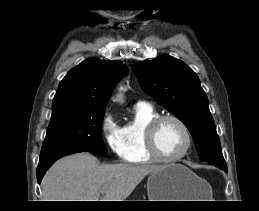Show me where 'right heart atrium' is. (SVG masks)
Masks as SVG:
<instances>
[{
    "label": "right heart atrium",
    "mask_w": 259,
    "mask_h": 211,
    "mask_svg": "<svg viewBox=\"0 0 259 211\" xmlns=\"http://www.w3.org/2000/svg\"><path fill=\"white\" fill-rule=\"evenodd\" d=\"M103 139L110 151L117 157H122L123 142L121 128L110 112H106L100 124Z\"/></svg>",
    "instance_id": "obj_1"
}]
</instances>
